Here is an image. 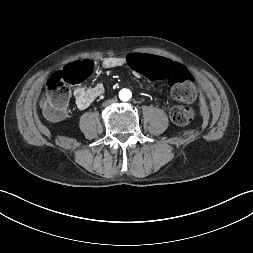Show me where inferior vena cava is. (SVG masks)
Instances as JSON below:
<instances>
[{
	"mask_svg": "<svg viewBox=\"0 0 253 253\" xmlns=\"http://www.w3.org/2000/svg\"><path fill=\"white\" fill-rule=\"evenodd\" d=\"M116 102H117V99H116L115 97H112V98H109V99H107V100H104V101L102 102V105H103L104 107H107V106H110V105L115 104Z\"/></svg>",
	"mask_w": 253,
	"mask_h": 253,
	"instance_id": "602c4592",
	"label": "inferior vena cava"
}]
</instances>
